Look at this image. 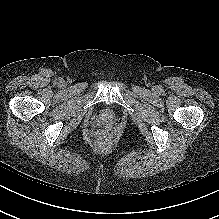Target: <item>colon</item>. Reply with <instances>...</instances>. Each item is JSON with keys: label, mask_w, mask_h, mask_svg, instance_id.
I'll return each mask as SVG.
<instances>
[{"label": "colon", "mask_w": 219, "mask_h": 219, "mask_svg": "<svg viewBox=\"0 0 219 219\" xmlns=\"http://www.w3.org/2000/svg\"><path fill=\"white\" fill-rule=\"evenodd\" d=\"M109 144L108 140L106 138H99L98 141H97V147L98 148H105L107 147Z\"/></svg>", "instance_id": "colon-1"}]
</instances>
